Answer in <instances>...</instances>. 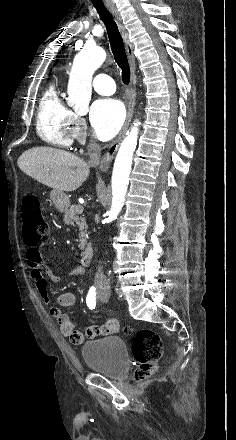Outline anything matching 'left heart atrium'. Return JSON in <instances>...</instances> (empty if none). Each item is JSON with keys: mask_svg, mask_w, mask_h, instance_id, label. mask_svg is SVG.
I'll return each mask as SVG.
<instances>
[{"mask_svg": "<svg viewBox=\"0 0 236 440\" xmlns=\"http://www.w3.org/2000/svg\"><path fill=\"white\" fill-rule=\"evenodd\" d=\"M90 115L96 137L106 141L113 138L121 129L125 119V109L119 100L99 99L93 103Z\"/></svg>", "mask_w": 236, "mask_h": 440, "instance_id": "39dd6f15", "label": "left heart atrium"}]
</instances>
